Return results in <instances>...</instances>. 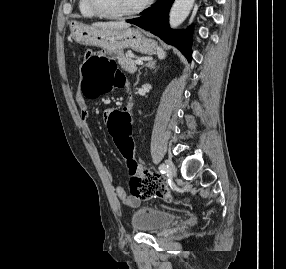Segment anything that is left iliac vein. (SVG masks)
I'll use <instances>...</instances> for the list:
<instances>
[{"label": "left iliac vein", "instance_id": "left-iliac-vein-1", "mask_svg": "<svg viewBox=\"0 0 286 269\" xmlns=\"http://www.w3.org/2000/svg\"><path fill=\"white\" fill-rule=\"evenodd\" d=\"M164 164L167 166L168 173L172 177H175L176 176V169H175L174 163L171 160H166Z\"/></svg>", "mask_w": 286, "mask_h": 269}]
</instances>
